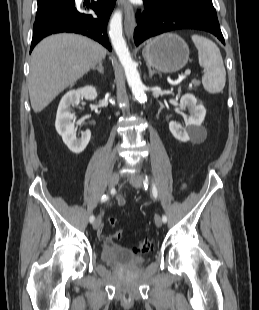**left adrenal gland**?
I'll list each match as a JSON object with an SVG mask.
<instances>
[{
	"instance_id": "obj_1",
	"label": "left adrenal gland",
	"mask_w": 259,
	"mask_h": 310,
	"mask_svg": "<svg viewBox=\"0 0 259 310\" xmlns=\"http://www.w3.org/2000/svg\"><path fill=\"white\" fill-rule=\"evenodd\" d=\"M149 69V77L152 78V76L155 74V71L151 69V67H148Z\"/></svg>"
}]
</instances>
